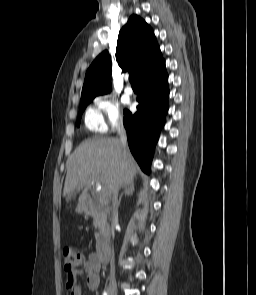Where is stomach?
<instances>
[{
  "label": "stomach",
  "instance_id": "1",
  "mask_svg": "<svg viewBox=\"0 0 256 295\" xmlns=\"http://www.w3.org/2000/svg\"><path fill=\"white\" fill-rule=\"evenodd\" d=\"M76 212L81 214V213L84 212V208L81 205H78L77 208H76Z\"/></svg>",
  "mask_w": 256,
  "mask_h": 295
}]
</instances>
